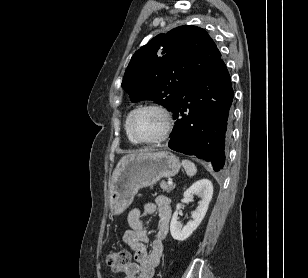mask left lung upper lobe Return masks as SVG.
<instances>
[{"label": "left lung upper lobe", "instance_id": "5c2ea615", "mask_svg": "<svg viewBox=\"0 0 308 278\" xmlns=\"http://www.w3.org/2000/svg\"><path fill=\"white\" fill-rule=\"evenodd\" d=\"M219 60L221 53L204 29L180 26L157 35L134 53L122 87L132 102L151 99L172 111Z\"/></svg>", "mask_w": 308, "mask_h": 278}]
</instances>
